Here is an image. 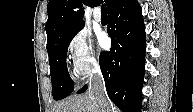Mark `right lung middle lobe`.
Here are the masks:
<instances>
[{"mask_svg": "<svg viewBox=\"0 0 193 112\" xmlns=\"http://www.w3.org/2000/svg\"><path fill=\"white\" fill-rule=\"evenodd\" d=\"M83 27L84 25L67 29L47 44L52 94L55 100L63 99L74 91V83L67 70L66 56L70 41Z\"/></svg>", "mask_w": 193, "mask_h": 112, "instance_id": "obj_1", "label": "right lung middle lobe"}]
</instances>
